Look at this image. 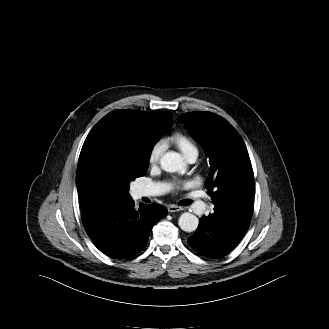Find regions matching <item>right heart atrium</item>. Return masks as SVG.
Instances as JSON below:
<instances>
[{
	"mask_svg": "<svg viewBox=\"0 0 329 329\" xmlns=\"http://www.w3.org/2000/svg\"><path fill=\"white\" fill-rule=\"evenodd\" d=\"M164 148H165V144L163 141H157L156 143H154L152 145V147L150 148L149 154H148L149 164L153 165L159 161V159L164 151Z\"/></svg>",
	"mask_w": 329,
	"mask_h": 329,
	"instance_id": "1",
	"label": "right heart atrium"
}]
</instances>
